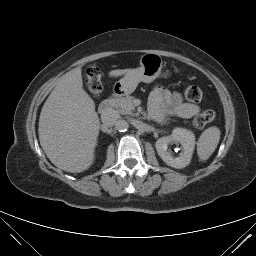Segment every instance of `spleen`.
Instances as JSON below:
<instances>
[{
	"mask_svg": "<svg viewBox=\"0 0 256 256\" xmlns=\"http://www.w3.org/2000/svg\"><path fill=\"white\" fill-rule=\"evenodd\" d=\"M220 134L216 126H211L202 132L197 143V154L201 160H207L213 154L219 143Z\"/></svg>",
	"mask_w": 256,
	"mask_h": 256,
	"instance_id": "obj_1",
	"label": "spleen"
}]
</instances>
